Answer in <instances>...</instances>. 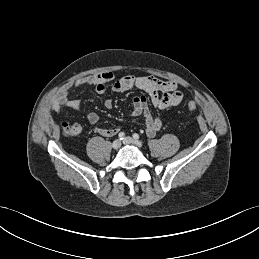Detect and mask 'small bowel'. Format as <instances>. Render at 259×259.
<instances>
[{"instance_id": "small-bowel-1", "label": "small bowel", "mask_w": 259, "mask_h": 259, "mask_svg": "<svg viewBox=\"0 0 259 259\" xmlns=\"http://www.w3.org/2000/svg\"><path fill=\"white\" fill-rule=\"evenodd\" d=\"M109 84L114 93L125 92L136 87L149 96L152 104L159 111L158 114H153L151 112L148 107L147 98L144 95L134 97L132 103V116H143L145 131L149 137H154L161 129L164 112L176 107L183 100V93L173 81H164L154 76L137 77L132 74L115 79L112 72L104 71L95 75L71 79L66 82L58 92L57 98L50 108L56 112H60L63 109L78 110L81 106L80 101L70 99L69 95L71 93L77 92L82 87L88 85L94 87L97 93L102 94ZM105 106L106 108L111 109L113 106L112 100H106ZM87 120L90 124H96L99 121L98 113L94 111L89 112ZM75 125L77 127L76 134H80L82 127L79 124ZM119 131V127L96 128V132L103 137H112Z\"/></svg>"}]
</instances>
